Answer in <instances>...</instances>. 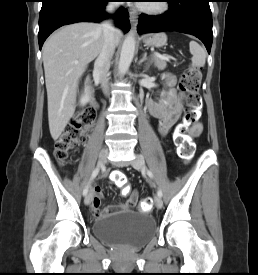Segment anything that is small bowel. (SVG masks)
I'll return each instance as SVG.
<instances>
[{
	"mask_svg": "<svg viewBox=\"0 0 258 275\" xmlns=\"http://www.w3.org/2000/svg\"><path fill=\"white\" fill-rule=\"evenodd\" d=\"M163 77L169 86L167 97L164 100L150 101L148 107L151 116L158 120L159 134L161 136H166L170 129L179 120L182 113L183 104L182 96L178 94L174 88L176 83L175 77L169 73L164 74ZM201 130L202 124L197 123L191 128L189 135L191 137H196L201 132ZM103 193L104 190L101 186H95L93 188L92 199L90 203L92 213L97 218L113 215L119 211H129L136 205L138 200V193L133 191L129 200L126 202L101 209L100 205Z\"/></svg>",
	"mask_w": 258,
	"mask_h": 275,
	"instance_id": "c3829d8e",
	"label": "small bowel"
}]
</instances>
